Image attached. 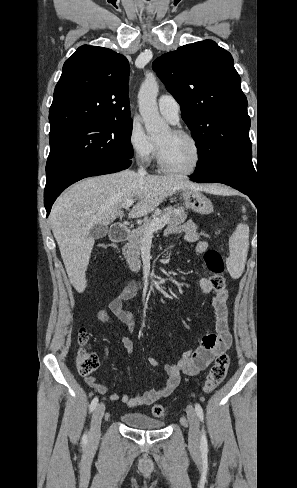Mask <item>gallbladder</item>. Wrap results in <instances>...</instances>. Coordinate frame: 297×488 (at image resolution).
Segmentation results:
<instances>
[{"mask_svg": "<svg viewBox=\"0 0 297 488\" xmlns=\"http://www.w3.org/2000/svg\"><path fill=\"white\" fill-rule=\"evenodd\" d=\"M108 226L102 224H95L89 231V236L94 239H100L106 236Z\"/></svg>", "mask_w": 297, "mask_h": 488, "instance_id": "obj_1", "label": "gallbladder"}]
</instances>
